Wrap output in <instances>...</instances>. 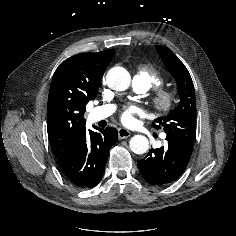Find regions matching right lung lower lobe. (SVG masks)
<instances>
[{
    "label": "right lung lower lobe",
    "mask_w": 236,
    "mask_h": 236,
    "mask_svg": "<svg viewBox=\"0 0 236 236\" xmlns=\"http://www.w3.org/2000/svg\"><path fill=\"white\" fill-rule=\"evenodd\" d=\"M99 132L84 130L68 159L60 165L64 175L74 186L86 189L96 186L103 175L110 147L117 142L118 131L107 127Z\"/></svg>",
    "instance_id": "obj_1"
}]
</instances>
